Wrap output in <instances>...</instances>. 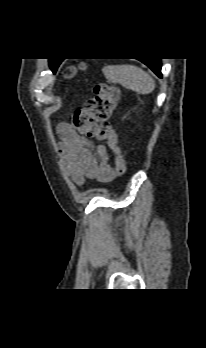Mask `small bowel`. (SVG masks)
<instances>
[{
    "mask_svg": "<svg viewBox=\"0 0 206 348\" xmlns=\"http://www.w3.org/2000/svg\"><path fill=\"white\" fill-rule=\"evenodd\" d=\"M59 147L66 173L81 185L85 179L107 183L114 178L110 153L104 145H91L66 123L57 128Z\"/></svg>",
    "mask_w": 206,
    "mask_h": 348,
    "instance_id": "c3829d8e",
    "label": "small bowel"
}]
</instances>
